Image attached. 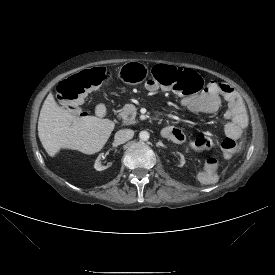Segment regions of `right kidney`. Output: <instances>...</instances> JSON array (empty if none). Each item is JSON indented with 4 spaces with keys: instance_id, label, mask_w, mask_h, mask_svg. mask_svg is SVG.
<instances>
[{
    "instance_id": "1",
    "label": "right kidney",
    "mask_w": 275,
    "mask_h": 275,
    "mask_svg": "<svg viewBox=\"0 0 275 275\" xmlns=\"http://www.w3.org/2000/svg\"><path fill=\"white\" fill-rule=\"evenodd\" d=\"M114 161V156L109 152H103L98 155L95 161L94 168L97 171L105 170L107 167L111 166ZM102 163V164H101Z\"/></svg>"
}]
</instances>
